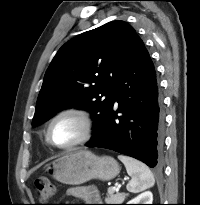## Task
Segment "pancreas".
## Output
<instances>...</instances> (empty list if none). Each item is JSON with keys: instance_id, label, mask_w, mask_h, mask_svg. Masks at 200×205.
<instances>
[{"instance_id": "cf45deb5", "label": "pancreas", "mask_w": 200, "mask_h": 205, "mask_svg": "<svg viewBox=\"0 0 200 205\" xmlns=\"http://www.w3.org/2000/svg\"><path fill=\"white\" fill-rule=\"evenodd\" d=\"M128 194L117 192L114 194V190L112 188L108 189L107 198L105 201L107 204H121Z\"/></svg>"}]
</instances>
